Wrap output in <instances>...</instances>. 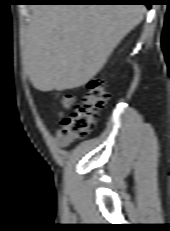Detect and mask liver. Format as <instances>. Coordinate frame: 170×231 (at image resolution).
I'll return each instance as SVG.
<instances>
[{
  "instance_id": "1",
  "label": "liver",
  "mask_w": 170,
  "mask_h": 231,
  "mask_svg": "<svg viewBox=\"0 0 170 231\" xmlns=\"http://www.w3.org/2000/svg\"><path fill=\"white\" fill-rule=\"evenodd\" d=\"M144 5H36L24 31L23 66L43 92L87 84L143 19Z\"/></svg>"
}]
</instances>
